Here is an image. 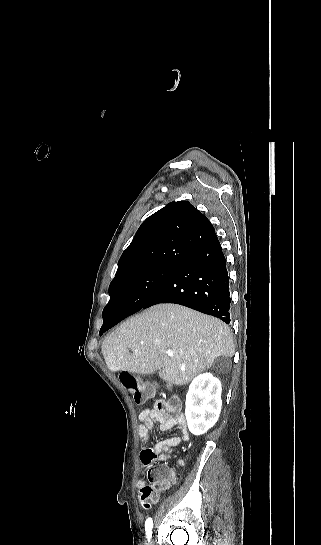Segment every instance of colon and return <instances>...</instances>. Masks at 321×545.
<instances>
[{"mask_svg": "<svg viewBox=\"0 0 321 545\" xmlns=\"http://www.w3.org/2000/svg\"><path fill=\"white\" fill-rule=\"evenodd\" d=\"M120 381L122 385L129 391L134 401L137 404L145 403L152 395V389L149 385L142 383L135 375L129 372H122L120 374ZM145 454L148 458H153L154 452L152 450H146ZM152 485L144 486L140 489V501L145 508H150L156 503L159 492L166 488L169 484L164 480L163 473L156 471L152 477Z\"/></svg>", "mask_w": 321, "mask_h": 545, "instance_id": "1", "label": "colon"}]
</instances>
